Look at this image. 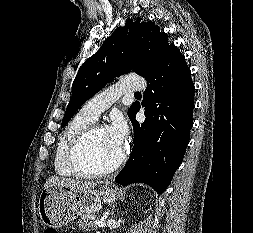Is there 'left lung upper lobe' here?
<instances>
[{"instance_id": "obj_1", "label": "left lung upper lobe", "mask_w": 253, "mask_h": 233, "mask_svg": "<svg viewBox=\"0 0 253 233\" xmlns=\"http://www.w3.org/2000/svg\"><path fill=\"white\" fill-rule=\"evenodd\" d=\"M173 44L152 22L127 20L117 28L101 48L79 68L72 84V97L67 106L64 127L74 113L115 77L131 71L147 75ZM135 103L128 109L130 118Z\"/></svg>"}]
</instances>
